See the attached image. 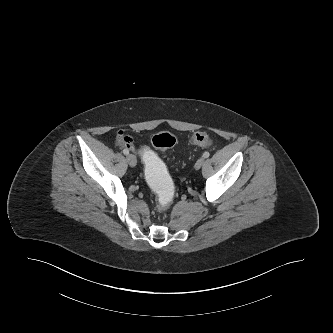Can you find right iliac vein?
<instances>
[{
	"label": "right iliac vein",
	"mask_w": 333,
	"mask_h": 333,
	"mask_svg": "<svg viewBox=\"0 0 333 333\" xmlns=\"http://www.w3.org/2000/svg\"><path fill=\"white\" fill-rule=\"evenodd\" d=\"M128 164L131 166V167H135L136 164H137V159L135 157V155L133 154H129L126 158Z\"/></svg>",
	"instance_id": "63e3f726"
}]
</instances>
